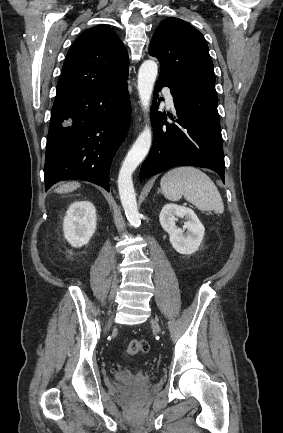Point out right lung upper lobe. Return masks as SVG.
Listing matches in <instances>:
<instances>
[{
    "label": "right lung upper lobe",
    "instance_id": "obj_1",
    "mask_svg": "<svg viewBox=\"0 0 283 433\" xmlns=\"http://www.w3.org/2000/svg\"><path fill=\"white\" fill-rule=\"evenodd\" d=\"M127 76L128 54L122 41L107 25L92 27L69 49L55 99L115 86Z\"/></svg>",
    "mask_w": 283,
    "mask_h": 433
}]
</instances>
